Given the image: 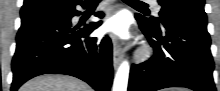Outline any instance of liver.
<instances>
[{"instance_id":"1","label":"liver","mask_w":220,"mask_h":91,"mask_svg":"<svg viewBox=\"0 0 220 91\" xmlns=\"http://www.w3.org/2000/svg\"><path fill=\"white\" fill-rule=\"evenodd\" d=\"M19 91H93L85 82L66 75H41L26 82Z\"/></svg>"}]
</instances>
